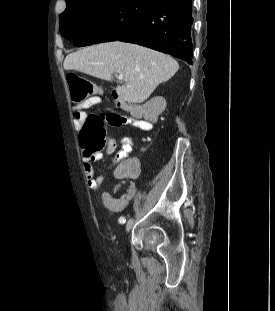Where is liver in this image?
I'll use <instances>...</instances> for the list:
<instances>
[{
    "label": "liver",
    "instance_id": "1",
    "mask_svg": "<svg viewBox=\"0 0 275 311\" xmlns=\"http://www.w3.org/2000/svg\"><path fill=\"white\" fill-rule=\"evenodd\" d=\"M65 70H77L103 80L123 75L124 85L116 91L128 103L144 102L155 88L179 69L178 62L158 51L119 41L86 47L66 56Z\"/></svg>",
    "mask_w": 275,
    "mask_h": 311
}]
</instances>
